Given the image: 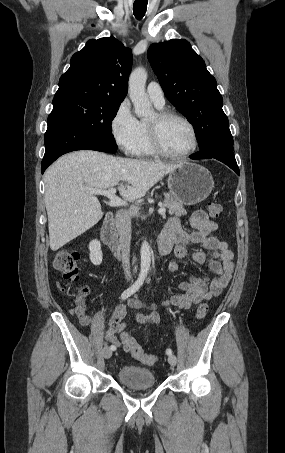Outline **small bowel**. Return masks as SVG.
<instances>
[{"label": "small bowel", "mask_w": 285, "mask_h": 453, "mask_svg": "<svg viewBox=\"0 0 285 453\" xmlns=\"http://www.w3.org/2000/svg\"><path fill=\"white\" fill-rule=\"evenodd\" d=\"M190 226L194 229L187 232L183 229L181 221L177 217H171L160 237L167 239L171 244H175V259L169 263L170 271H177L179 261L190 257L198 264L208 263L210 270L215 277L190 276L179 283L180 294L171 296L164 302L166 306H176L181 309H188L191 306L218 296L229 284L233 274V252L227 243L217 238L214 233L217 224L210 220L206 212L195 211L190 218ZM200 244L206 251L190 252L188 246ZM87 291V289H85ZM148 307L154 311L150 315H145L139 310ZM155 304H144L136 297L129 299L125 304H118L114 307L110 319L109 327L104 332V338L115 348L121 345L117 334H123L127 324L125 318L129 309L136 310L134 319L141 325H156L160 320L158 312L155 311ZM73 313L77 315L81 325L89 326L92 323L90 316L85 314L84 300L76 303Z\"/></svg>", "instance_id": "1"}]
</instances>
